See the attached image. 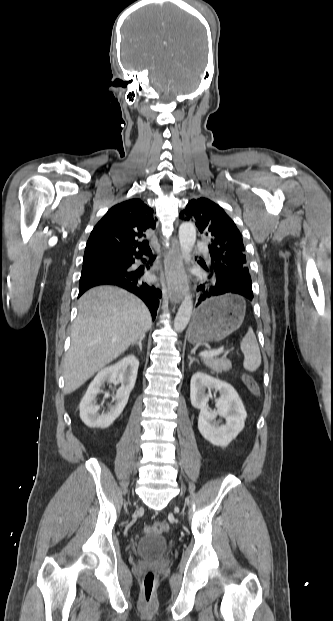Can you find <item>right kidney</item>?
Masks as SVG:
<instances>
[{"label": "right kidney", "instance_id": "ca27d5eb", "mask_svg": "<svg viewBox=\"0 0 333 621\" xmlns=\"http://www.w3.org/2000/svg\"><path fill=\"white\" fill-rule=\"evenodd\" d=\"M138 367L139 360L134 355H128L98 372L79 404L80 418L88 427L107 428L118 418L135 385ZM116 380L121 383V387L116 392L115 405L108 412L99 414L100 406L95 402L96 396L106 381L112 383Z\"/></svg>", "mask_w": 333, "mask_h": 621}]
</instances>
